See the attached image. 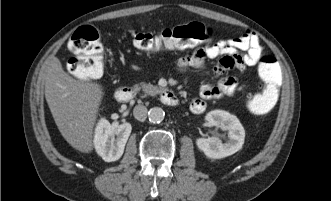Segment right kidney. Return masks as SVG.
<instances>
[{
	"mask_svg": "<svg viewBox=\"0 0 331 201\" xmlns=\"http://www.w3.org/2000/svg\"><path fill=\"white\" fill-rule=\"evenodd\" d=\"M131 130L132 127L129 123L110 124L108 120L101 118L96 126L94 135L96 152L106 162L120 159Z\"/></svg>",
	"mask_w": 331,
	"mask_h": 201,
	"instance_id": "ca27d5eb",
	"label": "right kidney"
}]
</instances>
